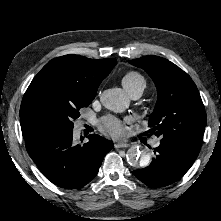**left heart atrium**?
I'll return each instance as SVG.
<instances>
[{"mask_svg": "<svg viewBox=\"0 0 221 221\" xmlns=\"http://www.w3.org/2000/svg\"><path fill=\"white\" fill-rule=\"evenodd\" d=\"M101 128L115 138L122 137L125 134L124 125L116 118H105L101 124Z\"/></svg>", "mask_w": 221, "mask_h": 221, "instance_id": "39dd6f15", "label": "left heart atrium"}]
</instances>
